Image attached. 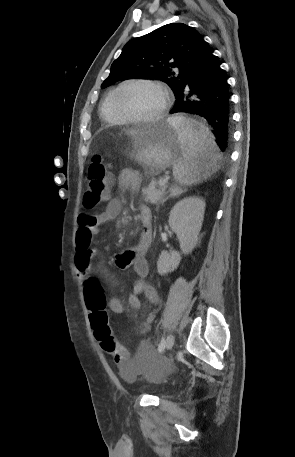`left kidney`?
I'll use <instances>...</instances> for the list:
<instances>
[{"label":"left kidney","instance_id":"obj_1","mask_svg":"<svg viewBox=\"0 0 295 457\" xmlns=\"http://www.w3.org/2000/svg\"><path fill=\"white\" fill-rule=\"evenodd\" d=\"M205 212V202L199 197H187L179 201L172 208L169 216V226L176 233L182 253L193 250L199 240ZM181 260L177 251L161 252L157 261V270L160 275L174 271Z\"/></svg>","mask_w":295,"mask_h":457}]
</instances>
